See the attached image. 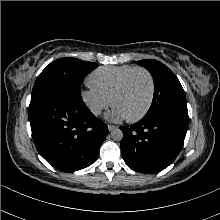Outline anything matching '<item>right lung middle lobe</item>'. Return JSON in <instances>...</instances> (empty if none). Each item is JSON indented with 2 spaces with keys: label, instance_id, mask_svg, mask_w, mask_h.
<instances>
[{
  "label": "right lung middle lobe",
  "instance_id": "dd1d6c3e",
  "mask_svg": "<svg viewBox=\"0 0 220 220\" xmlns=\"http://www.w3.org/2000/svg\"><path fill=\"white\" fill-rule=\"evenodd\" d=\"M97 66V63L71 57L55 60L36 79L32 95L40 92H58L82 100V81Z\"/></svg>",
  "mask_w": 220,
  "mask_h": 220
}]
</instances>
